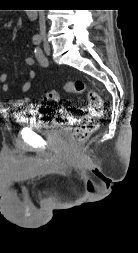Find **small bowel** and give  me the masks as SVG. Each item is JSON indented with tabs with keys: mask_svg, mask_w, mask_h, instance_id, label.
<instances>
[{
	"mask_svg": "<svg viewBox=\"0 0 138 253\" xmlns=\"http://www.w3.org/2000/svg\"><path fill=\"white\" fill-rule=\"evenodd\" d=\"M25 63L28 66H33L34 59L32 57H27L25 59ZM36 75H37V72L35 70L29 71L28 78L24 82V84L22 85V88H21L22 93H26L30 90V88L32 86V82L35 79ZM0 83L2 85V90L4 92L9 91V84L7 82V74L1 70H0ZM29 103H30V99L28 97H22V98L12 101L13 106L19 107V108L27 106V105H29Z\"/></svg>",
	"mask_w": 138,
	"mask_h": 253,
	"instance_id": "obj_1",
	"label": "small bowel"
}]
</instances>
